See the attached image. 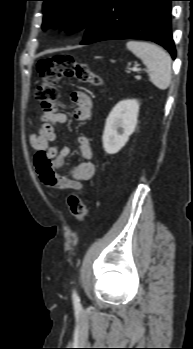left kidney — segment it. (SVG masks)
Segmentation results:
<instances>
[{
	"mask_svg": "<svg viewBox=\"0 0 193 349\" xmlns=\"http://www.w3.org/2000/svg\"><path fill=\"white\" fill-rule=\"evenodd\" d=\"M139 104L135 99L118 102L106 119L102 136L103 148L108 154H116L128 142L135 131Z\"/></svg>",
	"mask_w": 193,
	"mask_h": 349,
	"instance_id": "obj_1",
	"label": "left kidney"
}]
</instances>
